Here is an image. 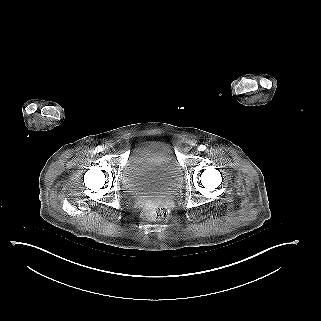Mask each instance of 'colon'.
Wrapping results in <instances>:
<instances>
[{"label":"colon","mask_w":321,"mask_h":321,"mask_svg":"<svg viewBox=\"0 0 321 321\" xmlns=\"http://www.w3.org/2000/svg\"><path fill=\"white\" fill-rule=\"evenodd\" d=\"M169 210L163 204L151 203L143 210V217L151 221H160L168 217Z\"/></svg>","instance_id":"1"}]
</instances>
